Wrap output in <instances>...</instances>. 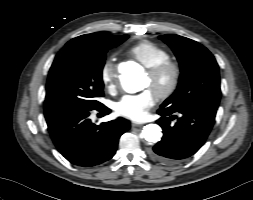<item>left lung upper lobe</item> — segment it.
Instances as JSON below:
<instances>
[{"label": "left lung upper lobe", "mask_w": 253, "mask_h": 200, "mask_svg": "<svg viewBox=\"0 0 253 200\" xmlns=\"http://www.w3.org/2000/svg\"><path fill=\"white\" fill-rule=\"evenodd\" d=\"M160 39L172 48L181 69L176 91L161 108L171 112L195 107L217 109L221 90L214 56L198 42L179 35L166 34Z\"/></svg>", "instance_id": "5c2ea615"}]
</instances>
